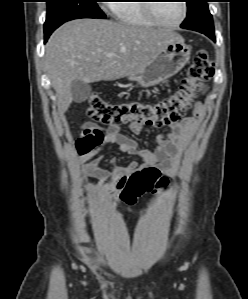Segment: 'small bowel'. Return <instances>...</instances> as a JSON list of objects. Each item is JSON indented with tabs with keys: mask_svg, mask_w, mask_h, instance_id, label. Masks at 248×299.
I'll return each mask as SVG.
<instances>
[{
	"mask_svg": "<svg viewBox=\"0 0 248 299\" xmlns=\"http://www.w3.org/2000/svg\"><path fill=\"white\" fill-rule=\"evenodd\" d=\"M200 111L201 106L198 104L193 116L167 123L168 132L158 136L154 149L139 148L137 142L128 134L120 132L117 126L100 128L91 122L86 123L77 143L80 155L77 164L85 165L87 169L85 187L99 199H121L120 181L128 177L137 167V163L132 162L125 167L112 164L110 170L100 168L102 156L99 153L107 145H114L120 152L140 158L145 165L156 167L164 175L176 176L180 157L193 136ZM147 126L143 122H132L130 131L134 135H140ZM87 177L95 178L98 182H89Z\"/></svg>",
	"mask_w": 248,
	"mask_h": 299,
	"instance_id": "c3829d8e",
	"label": "small bowel"
}]
</instances>
